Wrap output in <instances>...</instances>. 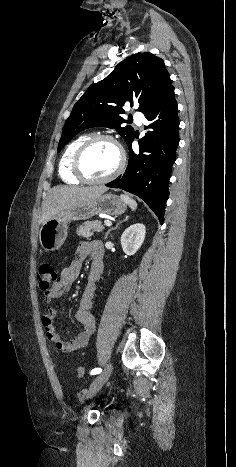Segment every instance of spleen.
Instances as JSON below:
<instances>
[{
	"label": "spleen",
	"instance_id": "spleen-1",
	"mask_svg": "<svg viewBox=\"0 0 236 467\" xmlns=\"http://www.w3.org/2000/svg\"><path fill=\"white\" fill-rule=\"evenodd\" d=\"M121 199L124 200L126 202V204L129 205V207L132 209V210H135L137 208V203L135 200H133L132 198H130L128 195H124L122 194L121 196Z\"/></svg>",
	"mask_w": 236,
	"mask_h": 467
}]
</instances>
